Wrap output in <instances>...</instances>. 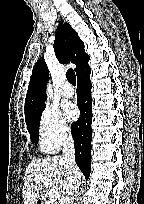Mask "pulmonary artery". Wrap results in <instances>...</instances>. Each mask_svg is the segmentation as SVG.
<instances>
[{"label":"pulmonary artery","instance_id":"1","mask_svg":"<svg viewBox=\"0 0 144 204\" xmlns=\"http://www.w3.org/2000/svg\"><path fill=\"white\" fill-rule=\"evenodd\" d=\"M62 95L67 98H70L74 95V89L68 82L65 83L62 88Z\"/></svg>","mask_w":144,"mask_h":204}]
</instances>
